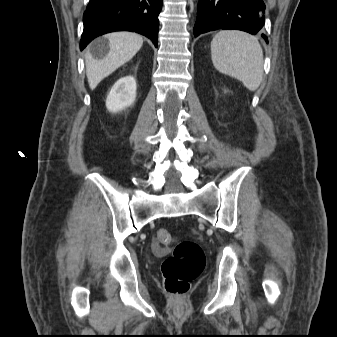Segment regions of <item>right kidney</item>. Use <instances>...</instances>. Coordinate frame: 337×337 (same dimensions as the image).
I'll return each instance as SVG.
<instances>
[{"mask_svg": "<svg viewBox=\"0 0 337 337\" xmlns=\"http://www.w3.org/2000/svg\"><path fill=\"white\" fill-rule=\"evenodd\" d=\"M136 88V80L133 76L117 80L107 96V109L116 113L132 105L136 99Z\"/></svg>", "mask_w": 337, "mask_h": 337, "instance_id": "right-kidney-1", "label": "right kidney"}]
</instances>
